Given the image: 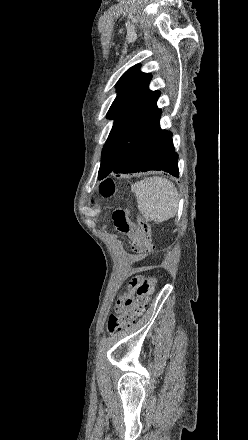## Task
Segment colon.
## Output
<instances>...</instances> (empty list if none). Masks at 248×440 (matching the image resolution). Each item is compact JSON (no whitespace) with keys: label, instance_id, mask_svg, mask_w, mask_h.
<instances>
[{"label":"colon","instance_id":"obj_1","mask_svg":"<svg viewBox=\"0 0 248 440\" xmlns=\"http://www.w3.org/2000/svg\"><path fill=\"white\" fill-rule=\"evenodd\" d=\"M114 191L115 186L111 180L103 182L100 186V193L104 197L111 196ZM113 221L120 232L128 233L130 231L132 225L126 211L116 210L113 213ZM139 228L140 236L137 250L150 256L154 252L151 226L146 220L140 219ZM155 285L156 279L152 275L135 276L130 280L129 292L123 300V310L112 313L108 318L107 328L110 333L119 332L135 323L146 310Z\"/></svg>","mask_w":248,"mask_h":440}]
</instances>
